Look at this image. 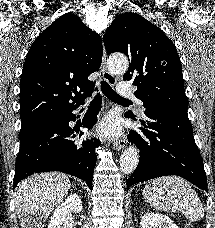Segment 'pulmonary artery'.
Returning <instances> with one entry per match:
<instances>
[{"instance_id":"e3ab8cb5","label":"pulmonary artery","mask_w":215,"mask_h":228,"mask_svg":"<svg viewBox=\"0 0 215 228\" xmlns=\"http://www.w3.org/2000/svg\"><path fill=\"white\" fill-rule=\"evenodd\" d=\"M115 89L118 96H134L135 84H115ZM130 102H138V109L142 113L144 112L145 108L141 97H130Z\"/></svg>"}]
</instances>
